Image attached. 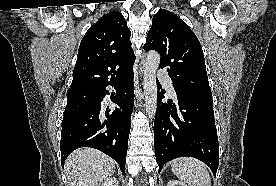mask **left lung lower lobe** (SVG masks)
I'll return each instance as SVG.
<instances>
[{
	"label": "left lung lower lobe",
	"mask_w": 276,
	"mask_h": 186,
	"mask_svg": "<svg viewBox=\"0 0 276 186\" xmlns=\"http://www.w3.org/2000/svg\"><path fill=\"white\" fill-rule=\"evenodd\" d=\"M157 86L154 148L159 172L166 162L187 156L203 161L216 175L219 143L212 96L176 92L177 105L163 103L164 91L159 92L161 84L158 81Z\"/></svg>",
	"instance_id": "obj_1"
}]
</instances>
